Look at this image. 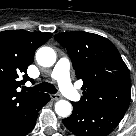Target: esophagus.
<instances>
[{
	"instance_id": "esophagus-1",
	"label": "esophagus",
	"mask_w": 136,
	"mask_h": 136,
	"mask_svg": "<svg viewBox=\"0 0 136 136\" xmlns=\"http://www.w3.org/2000/svg\"><path fill=\"white\" fill-rule=\"evenodd\" d=\"M50 98H51V100H53V101H57V100L61 99L62 97H61L60 94H51V95H50Z\"/></svg>"
}]
</instances>
